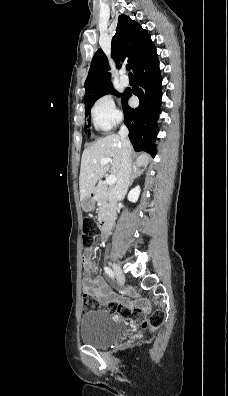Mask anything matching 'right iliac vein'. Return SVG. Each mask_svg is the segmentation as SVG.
<instances>
[{
    "instance_id": "right-iliac-vein-1",
    "label": "right iliac vein",
    "mask_w": 228,
    "mask_h": 396,
    "mask_svg": "<svg viewBox=\"0 0 228 396\" xmlns=\"http://www.w3.org/2000/svg\"><path fill=\"white\" fill-rule=\"evenodd\" d=\"M112 268H113V272L116 275L117 279L120 282H124L125 276H124V273L122 272V270L120 269V267L116 263L112 262Z\"/></svg>"
}]
</instances>
